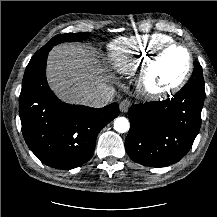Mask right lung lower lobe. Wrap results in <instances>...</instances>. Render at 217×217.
<instances>
[{
  "label": "right lung lower lobe",
  "instance_id": "1",
  "mask_svg": "<svg viewBox=\"0 0 217 217\" xmlns=\"http://www.w3.org/2000/svg\"><path fill=\"white\" fill-rule=\"evenodd\" d=\"M47 56L31 59L24 73L19 97L22 133L41 162L72 169L92 157L97 135L119 115V105L96 109L60 101L47 84Z\"/></svg>",
  "mask_w": 217,
  "mask_h": 217
}]
</instances>
